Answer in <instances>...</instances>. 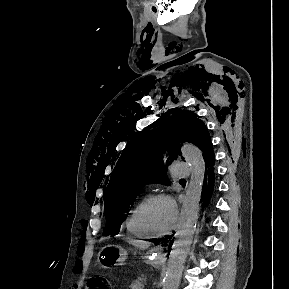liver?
I'll return each mask as SVG.
<instances>
[{
	"instance_id": "obj_1",
	"label": "liver",
	"mask_w": 289,
	"mask_h": 289,
	"mask_svg": "<svg viewBox=\"0 0 289 289\" xmlns=\"http://www.w3.org/2000/svg\"><path fill=\"white\" fill-rule=\"evenodd\" d=\"M129 243H131L132 245H134L136 247H140V248H146L148 246L147 243H145L143 241H139V240H130Z\"/></svg>"
}]
</instances>
